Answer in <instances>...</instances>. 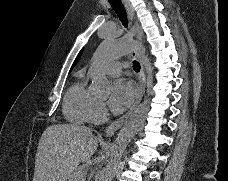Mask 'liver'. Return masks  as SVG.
<instances>
[{"instance_id":"liver-1","label":"liver","mask_w":228,"mask_h":181,"mask_svg":"<svg viewBox=\"0 0 228 181\" xmlns=\"http://www.w3.org/2000/svg\"><path fill=\"white\" fill-rule=\"evenodd\" d=\"M98 143L100 137L87 127H47L38 143L33 181H67L79 163L90 161Z\"/></svg>"}]
</instances>
